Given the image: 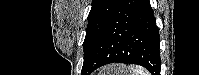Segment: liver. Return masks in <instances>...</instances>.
<instances>
[{"label": "liver", "mask_w": 199, "mask_h": 75, "mask_svg": "<svg viewBox=\"0 0 199 75\" xmlns=\"http://www.w3.org/2000/svg\"><path fill=\"white\" fill-rule=\"evenodd\" d=\"M114 67H115V66H112V67H111V70H114V69H112V68H114ZM108 73H110V72H106V74H108ZM104 75H105V73H104Z\"/></svg>", "instance_id": "liver-1"}]
</instances>
